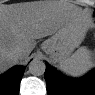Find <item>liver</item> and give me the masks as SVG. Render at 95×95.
<instances>
[{"label": "liver", "mask_w": 95, "mask_h": 95, "mask_svg": "<svg viewBox=\"0 0 95 95\" xmlns=\"http://www.w3.org/2000/svg\"><path fill=\"white\" fill-rule=\"evenodd\" d=\"M70 20L82 22L87 31L89 21L81 10L52 2H30L0 7V67L6 71L26 59L36 46V39L55 34ZM21 49L17 58L13 51Z\"/></svg>", "instance_id": "obj_1"}]
</instances>
